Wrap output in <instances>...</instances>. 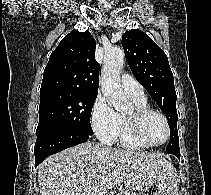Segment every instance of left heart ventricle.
I'll list each match as a JSON object with an SVG mask.
<instances>
[{"mask_svg": "<svg viewBox=\"0 0 211 195\" xmlns=\"http://www.w3.org/2000/svg\"><path fill=\"white\" fill-rule=\"evenodd\" d=\"M142 133L149 142L159 143L165 139L167 131L164 121L158 115H150L143 122Z\"/></svg>", "mask_w": 211, "mask_h": 195, "instance_id": "left-heart-ventricle-1", "label": "left heart ventricle"}]
</instances>
